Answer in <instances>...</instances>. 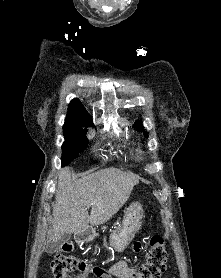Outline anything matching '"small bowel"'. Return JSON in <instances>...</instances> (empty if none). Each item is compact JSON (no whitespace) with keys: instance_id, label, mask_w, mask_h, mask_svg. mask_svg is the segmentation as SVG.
Instances as JSON below:
<instances>
[{"instance_id":"obj_1","label":"small bowel","mask_w":221,"mask_h":278,"mask_svg":"<svg viewBox=\"0 0 221 278\" xmlns=\"http://www.w3.org/2000/svg\"><path fill=\"white\" fill-rule=\"evenodd\" d=\"M140 242L134 243V249L138 251L140 249ZM134 269L126 262V261H119L115 263L109 270L101 269L97 278H131V275L134 273ZM69 278H84V277H74L70 276Z\"/></svg>"}]
</instances>
